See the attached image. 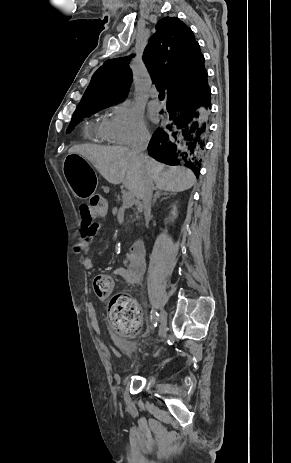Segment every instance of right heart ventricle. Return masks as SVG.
<instances>
[{"label":"right heart ventricle","mask_w":291,"mask_h":463,"mask_svg":"<svg viewBox=\"0 0 291 463\" xmlns=\"http://www.w3.org/2000/svg\"><path fill=\"white\" fill-rule=\"evenodd\" d=\"M107 121L108 119L103 118L92 123L87 127V136L94 141L109 142L110 139L107 135Z\"/></svg>","instance_id":"obj_1"}]
</instances>
